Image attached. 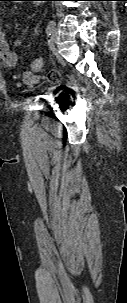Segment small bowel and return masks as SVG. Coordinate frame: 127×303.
Here are the masks:
<instances>
[{
	"label": "small bowel",
	"instance_id": "obj_1",
	"mask_svg": "<svg viewBox=\"0 0 127 303\" xmlns=\"http://www.w3.org/2000/svg\"><path fill=\"white\" fill-rule=\"evenodd\" d=\"M21 40H16L15 44L19 45ZM0 61L3 67L7 69H13L17 65L18 55L11 49L9 42L5 37V33L0 27ZM23 80L27 84H33L37 82L38 78L32 71L24 73Z\"/></svg>",
	"mask_w": 127,
	"mask_h": 303
}]
</instances>
